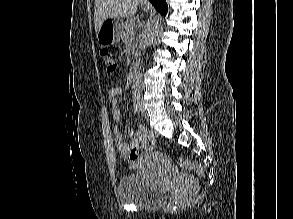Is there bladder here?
<instances>
[{
    "label": "bladder",
    "mask_w": 293,
    "mask_h": 219,
    "mask_svg": "<svg viewBox=\"0 0 293 219\" xmlns=\"http://www.w3.org/2000/svg\"><path fill=\"white\" fill-rule=\"evenodd\" d=\"M167 190L141 175L123 176L117 187V198L124 204H132L138 208L154 209L166 198Z\"/></svg>",
    "instance_id": "obj_1"
}]
</instances>
